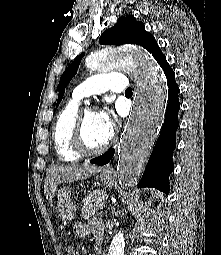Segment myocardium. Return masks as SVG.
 Segmentation results:
<instances>
[{
	"mask_svg": "<svg viewBox=\"0 0 221 255\" xmlns=\"http://www.w3.org/2000/svg\"><path fill=\"white\" fill-rule=\"evenodd\" d=\"M90 111L96 112L95 110ZM85 114L79 116L75 126L73 137L74 148L81 156H96L102 154L110 147L114 141V130L111 128L109 138L102 146L96 149L89 148L84 137Z\"/></svg>",
	"mask_w": 221,
	"mask_h": 255,
	"instance_id": "f54148a6",
	"label": "myocardium"
}]
</instances>
